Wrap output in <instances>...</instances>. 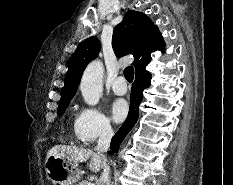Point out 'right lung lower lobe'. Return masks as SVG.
<instances>
[{
  "label": "right lung lower lobe",
  "mask_w": 233,
  "mask_h": 185,
  "mask_svg": "<svg viewBox=\"0 0 233 185\" xmlns=\"http://www.w3.org/2000/svg\"><path fill=\"white\" fill-rule=\"evenodd\" d=\"M150 81H151V74L146 69H141L136 71L135 82L132 85V89H131L129 114L122 127L113 137L111 141L112 151H110L109 154H112L113 152H117L119 144L137 122L139 117L138 106L143 99L142 92L145 88L150 86Z\"/></svg>",
  "instance_id": "1"
}]
</instances>
